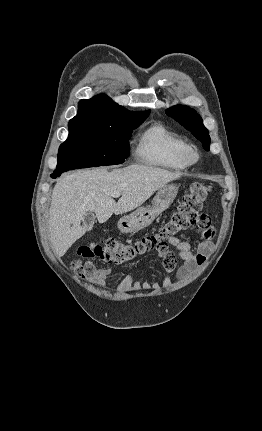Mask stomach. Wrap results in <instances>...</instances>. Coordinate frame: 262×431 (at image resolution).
Instances as JSON below:
<instances>
[{
  "instance_id": "1",
  "label": "stomach",
  "mask_w": 262,
  "mask_h": 431,
  "mask_svg": "<svg viewBox=\"0 0 262 431\" xmlns=\"http://www.w3.org/2000/svg\"><path fill=\"white\" fill-rule=\"evenodd\" d=\"M178 187L166 184L154 196L150 206L136 209L118 221V228L123 233H135L149 226L154 219L169 208L178 194Z\"/></svg>"
}]
</instances>
